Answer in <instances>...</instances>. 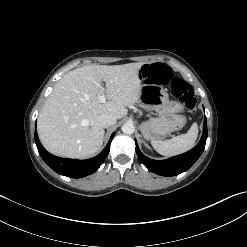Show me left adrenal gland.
<instances>
[{
  "label": "left adrenal gland",
  "instance_id": "left-adrenal-gland-1",
  "mask_svg": "<svg viewBox=\"0 0 247 247\" xmlns=\"http://www.w3.org/2000/svg\"><path fill=\"white\" fill-rule=\"evenodd\" d=\"M144 144H145L146 147L150 148L149 145L146 142H144Z\"/></svg>",
  "mask_w": 247,
  "mask_h": 247
}]
</instances>
